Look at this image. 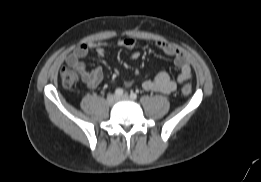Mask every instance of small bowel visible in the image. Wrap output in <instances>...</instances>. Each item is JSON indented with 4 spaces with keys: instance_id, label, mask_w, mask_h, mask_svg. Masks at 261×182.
Wrapping results in <instances>:
<instances>
[{
    "instance_id": "1",
    "label": "small bowel",
    "mask_w": 261,
    "mask_h": 182,
    "mask_svg": "<svg viewBox=\"0 0 261 182\" xmlns=\"http://www.w3.org/2000/svg\"><path fill=\"white\" fill-rule=\"evenodd\" d=\"M155 46L174 59L175 64L179 68V75L177 81H175L170 77L168 72L161 71L153 79L144 81L142 88L146 91L169 94L176 89L177 82L182 83L190 79L192 71L189 57L179 48L167 42L157 41L155 42ZM110 47H119L129 50L133 59H138L140 56V53L136 50V40L129 37L116 42H88L82 44L66 57V63L79 73L83 83L88 88H95L103 81V71L100 67L91 70L87 69L82 59L88 55L90 49L95 50L99 57H103L106 53V49ZM131 85V81L125 82V87L128 88Z\"/></svg>"
}]
</instances>
